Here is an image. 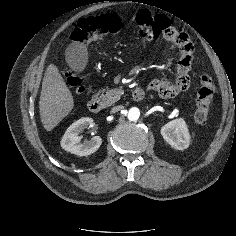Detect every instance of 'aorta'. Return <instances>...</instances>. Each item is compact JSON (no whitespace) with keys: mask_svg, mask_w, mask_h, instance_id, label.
<instances>
[{"mask_svg":"<svg viewBox=\"0 0 236 236\" xmlns=\"http://www.w3.org/2000/svg\"><path fill=\"white\" fill-rule=\"evenodd\" d=\"M127 117L130 121H136L140 117V110L136 107L129 109Z\"/></svg>","mask_w":236,"mask_h":236,"instance_id":"1","label":"aorta"}]
</instances>
